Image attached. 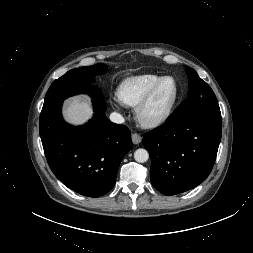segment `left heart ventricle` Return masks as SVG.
Instances as JSON below:
<instances>
[{"mask_svg":"<svg viewBox=\"0 0 253 253\" xmlns=\"http://www.w3.org/2000/svg\"><path fill=\"white\" fill-rule=\"evenodd\" d=\"M174 93V84L171 80H166L158 93L156 94L152 104L148 109V116L154 117L158 115L165 108L169 100L171 99Z\"/></svg>","mask_w":253,"mask_h":253,"instance_id":"obj_1","label":"left heart ventricle"}]
</instances>
